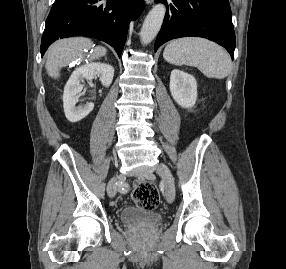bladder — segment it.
<instances>
[{"label":"bladder","mask_w":286,"mask_h":269,"mask_svg":"<svg viewBox=\"0 0 286 269\" xmlns=\"http://www.w3.org/2000/svg\"><path fill=\"white\" fill-rule=\"evenodd\" d=\"M119 220L121 223L129 225H157L162 222L163 217L158 212L127 206L120 211Z\"/></svg>","instance_id":"31cf9c89"}]
</instances>
